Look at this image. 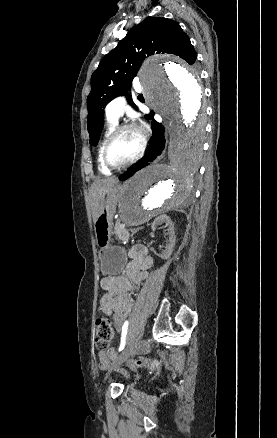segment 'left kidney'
<instances>
[{"label":"left kidney","mask_w":277,"mask_h":438,"mask_svg":"<svg viewBox=\"0 0 277 438\" xmlns=\"http://www.w3.org/2000/svg\"><path fill=\"white\" fill-rule=\"evenodd\" d=\"M160 224H166V226H168L169 244L167 246L166 252H164V254H159V256H160V258H162V260H169L171 254L173 252V248L176 244L174 224H173L170 216H167V214H161V216H158V218H155V220L151 226L153 232H155V230H158V226H160Z\"/></svg>","instance_id":"5707ae66"}]
</instances>
